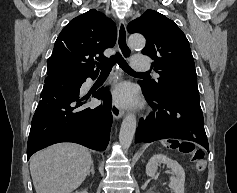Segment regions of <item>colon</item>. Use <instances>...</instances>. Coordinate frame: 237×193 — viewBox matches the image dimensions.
Segmentation results:
<instances>
[{
    "instance_id": "colon-1",
    "label": "colon",
    "mask_w": 237,
    "mask_h": 193,
    "mask_svg": "<svg viewBox=\"0 0 237 193\" xmlns=\"http://www.w3.org/2000/svg\"><path fill=\"white\" fill-rule=\"evenodd\" d=\"M170 146L190 155L191 160L195 164L198 171H204L206 169L207 161L205 153L202 150L197 149L193 144L188 142H179L174 146Z\"/></svg>"
}]
</instances>
